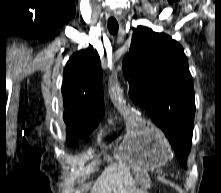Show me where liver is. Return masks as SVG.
Returning a JSON list of instances; mask_svg holds the SVG:
<instances>
[{
	"label": "liver",
	"mask_w": 221,
	"mask_h": 193,
	"mask_svg": "<svg viewBox=\"0 0 221 193\" xmlns=\"http://www.w3.org/2000/svg\"><path fill=\"white\" fill-rule=\"evenodd\" d=\"M134 181L129 170L123 165H110L98 177L92 193H131Z\"/></svg>",
	"instance_id": "obj_1"
}]
</instances>
